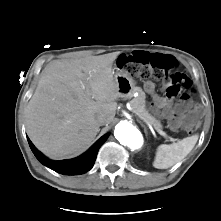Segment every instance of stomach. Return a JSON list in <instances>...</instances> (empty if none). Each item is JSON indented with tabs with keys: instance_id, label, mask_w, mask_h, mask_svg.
I'll use <instances>...</instances> for the list:
<instances>
[{
	"instance_id": "stomach-1",
	"label": "stomach",
	"mask_w": 221,
	"mask_h": 221,
	"mask_svg": "<svg viewBox=\"0 0 221 221\" xmlns=\"http://www.w3.org/2000/svg\"><path fill=\"white\" fill-rule=\"evenodd\" d=\"M114 78L121 96H126L128 92L136 89V81L127 72L118 69Z\"/></svg>"
}]
</instances>
